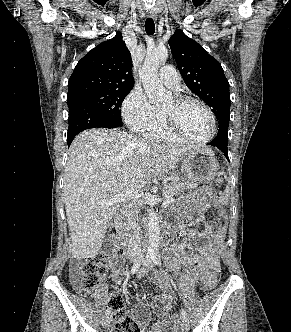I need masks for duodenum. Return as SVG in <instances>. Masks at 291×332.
I'll return each instance as SVG.
<instances>
[{
    "mask_svg": "<svg viewBox=\"0 0 291 332\" xmlns=\"http://www.w3.org/2000/svg\"><path fill=\"white\" fill-rule=\"evenodd\" d=\"M117 237L119 241L125 245H129L131 243V237L120 224L117 226Z\"/></svg>",
    "mask_w": 291,
    "mask_h": 332,
    "instance_id": "1",
    "label": "duodenum"
}]
</instances>
